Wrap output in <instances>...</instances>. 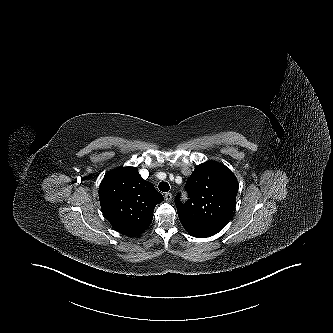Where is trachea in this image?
<instances>
[{
    "label": "trachea",
    "instance_id": "1",
    "mask_svg": "<svg viewBox=\"0 0 333 333\" xmlns=\"http://www.w3.org/2000/svg\"><path fill=\"white\" fill-rule=\"evenodd\" d=\"M158 187H159V190L162 191V192H167L170 189L169 184L167 182H164V181L160 182Z\"/></svg>",
    "mask_w": 333,
    "mask_h": 333
}]
</instances>
